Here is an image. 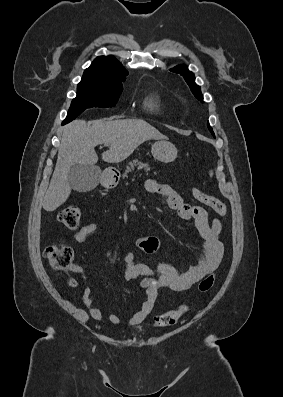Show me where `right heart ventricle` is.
Segmentation results:
<instances>
[{
    "label": "right heart ventricle",
    "instance_id": "right-heart-ventricle-1",
    "mask_svg": "<svg viewBox=\"0 0 283 397\" xmlns=\"http://www.w3.org/2000/svg\"><path fill=\"white\" fill-rule=\"evenodd\" d=\"M145 106L150 112H159L161 110V102L157 96H150L145 101Z\"/></svg>",
    "mask_w": 283,
    "mask_h": 397
}]
</instances>
